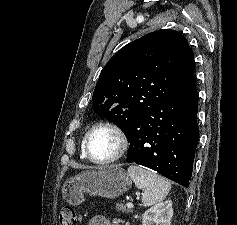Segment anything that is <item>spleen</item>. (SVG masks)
<instances>
[{
  "instance_id": "3e777b00",
  "label": "spleen",
  "mask_w": 237,
  "mask_h": 225,
  "mask_svg": "<svg viewBox=\"0 0 237 225\" xmlns=\"http://www.w3.org/2000/svg\"><path fill=\"white\" fill-rule=\"evenodd\" d=\"M128 175L135 186L143 190L142 203L144 206H152L163 201L171 189L169 180L141 166H129Z\"/></svg>"
}]
</instances>
